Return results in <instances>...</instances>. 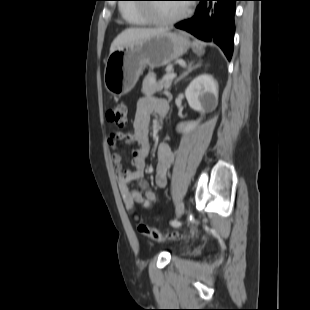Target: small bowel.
Instances as JSON below:
<instances>
[{
  "label": "small bowel",
  "mask_w": 310,
  "mask_h": 310,
  "mask_svg": "<svg viewBox=\"0 0 310 310\" xmlns=\"http://www.w3.org/2000/svg\"><path fill=\"white\" fill-rule=\"evenodd\" d=\"M168 103L165 100L145 96L139 99L132 129L127 133L112 132L108 137V145L114 150L112 161L118 169V187L126 209L134 213L135 205L140 204L149 209L156 201V194L149 188L144 180L146 158L149 153V125L151 114L165 117L168 113ZM123 140L136 144L137 148L132 153L133 169H122V157L116 151ZM158 163L155 174V184L158 188L166 187L167 171L173 164L175 155L166 143H161L157 150ZM138 183L139 188H131L132 183Z\"/></svg>",
  "instance_id": "small-bowel-1"
}]
</instances>
